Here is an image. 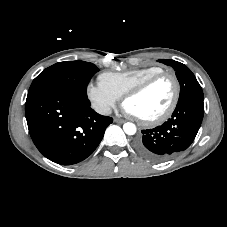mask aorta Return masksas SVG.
<instances>
[{"label": "aorta", "mask_w": 227, "mask_h": 227, "mask_svg": "<svg viewBox=\"0 0 227 227\" xmlns=\"http://www.w3.org/2000/svg\"><path fill=\"white\" fill-rule=\"evenodd\" d=\"M123 130L127 135H134L137 131V128L134 123L126 122L123 125Z\"/></svg>", "instance_id": "762f6f07"}]
</instances>
